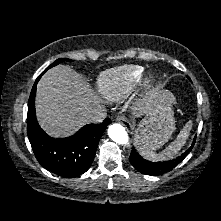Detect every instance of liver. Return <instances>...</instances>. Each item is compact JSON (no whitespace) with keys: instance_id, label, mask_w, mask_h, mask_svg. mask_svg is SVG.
<instances>
[{"instance_id":"liver-1","label":"liver","mask_w":221,"mask_h":221,"mask_svg":"<svg viewBox=\"0 0 221 221\" xmlns=\"http://www.w3.org/2000/svg\"><path fill=\"white\" fill-rule=\"evenodd\" d=\"M36 115L42 129L51 137H66L84 124V118L103 109L90 86L69 66L49 69L40 79L36 92ZM137 109H148L151 98L138 99Z\"/></svg>"}]
</instances>
